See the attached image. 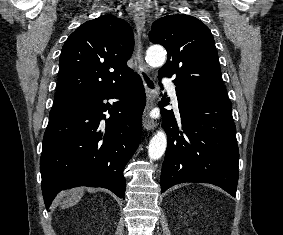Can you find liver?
<instances>
[{
	"label": "liver",
	"instance_id": "liver-1",
	"mask_svg": "<svg viewBox=\"0 0 283 235\" xmlns=\"http://www.w3.org/2000/svg\"><path fill=\"white\" fill-rule=\"evenodd\" d=\"M83 194V188H74L72 190L65 191L62 195L66 196V198L63 200V202H59V204L63 209L74 206L81 200Z\"/></svg>",
	"mask_w": 283,
	"mask_h": 235
}]
</instances>
